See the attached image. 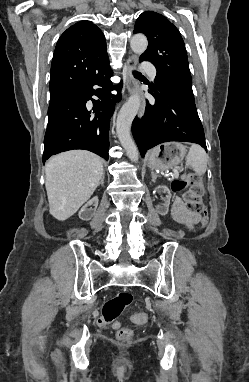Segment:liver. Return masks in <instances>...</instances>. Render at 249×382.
<instances>
[{
    "label": "liver",
    "mask_w": 249,
    "mask_h": 382,
    "mask_svg": "<svg viewBox=\"0 0 249 382\" xmlns=\"http://www.w3.org/2000/svg\"><path fill=\"white\" fill-rule=\"evenodd\" d=\"M100 158L85 150H73L51 157L45 166V187L49 212L65 221L91 197L103 175Z\"/></svg>",
    "instance_id": "liver-1"
}]
</instances>
